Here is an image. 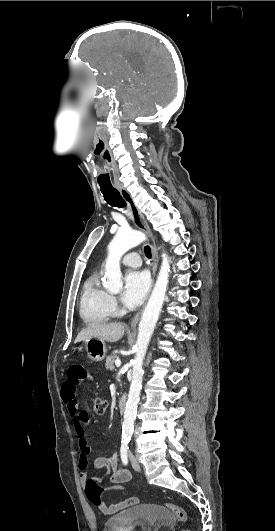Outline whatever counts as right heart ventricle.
Instances as JSON below:
<instances>
[{
	"instance_id": "right-heart-ventricle-1",
	"label": "right heart ventricle",
	"mask_w": 275,
	"mask_h": 531,
	"mask_svg": "<svg viewBox=\"0 0 275 531\" xmlns=\"http://www.w3.org/2000/svg\"><path fill=\"white\" fill-rule=\"evenodd\" d=\"M79 306L81 317L89 324H102L112 317L109 293L100 285L96 274L85 279L80 291Z\"/></svg>"
}]
</instances>
